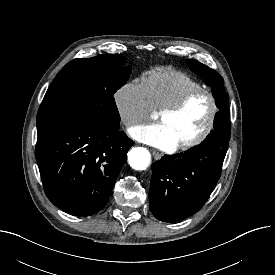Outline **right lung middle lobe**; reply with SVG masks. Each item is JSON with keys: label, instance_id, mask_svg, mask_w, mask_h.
Here are the masks:
<instances>
[{"label": "right lung middle lobe", "instance_id": "right-lung-middle-lobe-1", "mask_svg": "<svg viewBox=\"0 0 275 275\" xmlns=\"http://www.w3.org/2000/svg\"><path fill=\"white\" fill-rule=\"evenodd\" d=\"M131 66L122 54L77 58L63 67L48 88L37 114V135L64 125L95 122L119 126L114 93L128 80Z\"/></svg>", "mask_w": 275, "mask_h": 275}]
</instances>
